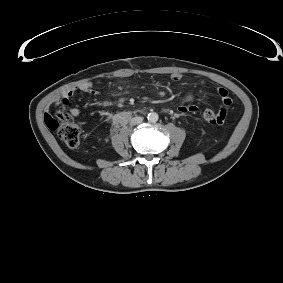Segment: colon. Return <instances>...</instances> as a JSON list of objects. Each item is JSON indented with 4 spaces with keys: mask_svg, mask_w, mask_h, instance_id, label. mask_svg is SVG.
I'll use <instances>...</instances> for the list:
<instances>
[{
    "mask_svg": "<svg viewBox=\"0 0 283 283\" xmlns=\"http://www.w3.org/2000/svg\"><path fill=\"white\" fill-rule=\"evenodd\" d=\"M229 104V101H227ZM228 109L214 110L207 108L203 112V118L210 124H222L227 115ZM46 126L55 131L59 138L68 146L76 147L80 143V127L70 122L66 115V108L61 107L52 113L44 116Z\"/></svg>",
    "mask_w": 283,
    "mask_h": 283,
    "instance_id": "1",
    "label": "colon"
}]
</instances>
